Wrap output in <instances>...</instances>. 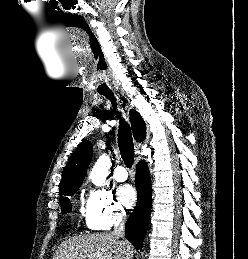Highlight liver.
I'll return each mask as SVG.
<instances>
[{"mask_svg":"<svg viewBox=\"0 0 248 259\" xmlns=\"http://www.w3.org/2000/svg\"><path fill=\"white\" fill-rule=\"evenodd\" d=\"M132 246L112 233L87 234L63 242L52 259H131Z\"/></svg>","mask_w":248,"mask_h":259,"instance_id":"1","label":"liver"}]
</instances>
